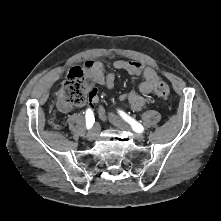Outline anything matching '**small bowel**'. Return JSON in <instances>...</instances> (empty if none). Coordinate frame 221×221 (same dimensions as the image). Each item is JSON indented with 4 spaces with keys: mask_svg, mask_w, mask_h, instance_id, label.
Here are the masks:
<instances>
[{
    "mask_svg": "<svg viewBox=\"0 0 221 221\" xmlns=\"http://www.w3.org/2000/svg\"><path fill=\"white\" fill-rule=\"evenodd\" d=\"M86 67L93 80L100 85L106 86L108 89H113L115 85V75L112 72L106 73L105 66L99 61L88 60ZM112 67L115 70H124L133 76H142L143 81L140 83L139 91H131L127 94L121 95V100H126L134 110H140L147 102L145 95L150 94L157 83L159 82L158 73L150 66L144 65L135 60H117L113 62ZM100 95V88L98 86H91L89 88L88 109H92L94 105L98 104ZM74 105L68 104L59 100L58 107L61 111L67 112L73 108Z\"/></svg>",
    "mask_w": 221,
    "mask_h": 221,
    "instance_id": "1",
    "label": "small bowel"
}]
</instances>
